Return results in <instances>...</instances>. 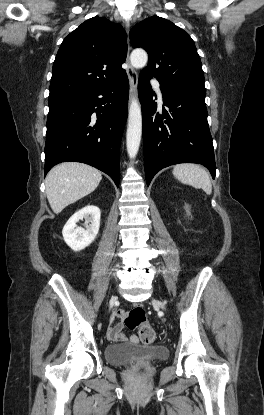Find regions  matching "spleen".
<instances>
[{"mask_svg":"<svg viewBox=\"0 0 264 415\" xmlns=\"http://www.w3.org/2000/svg\"><path fill=\"white\" fill-rule=\"evenodd\" d=\"M173 175L183 184L203 189L207 194L212 193V184L208 172L195 164H179L174 166Z\"/></svg>","mask_w":264,"mask_h":415,"instance_id":"obj_1","label":"spleen"}]
</instances>
